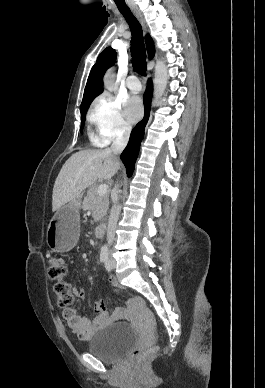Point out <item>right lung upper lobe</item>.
Instances as JSON below:
<instances>
[{
    "label": "right lung upper lobe",
    "mask_w": 265,
    "mask_h": 388,
    "mask_svg": "<svg viewBox=\"0 0 265 388\" xmlns=\"http://www.w3.org/2000/svg\"><path fill=\"white\" fill-rule=\"evenodd\" d=\"M146 45L148 54L150 58H152L154 56V46L149 36L146 37ZM115 60L116 51L111 47L104 49L103 52L98 56L97 61L92 67L88 77L81 106L103 92L104 73L109 67L114 65Z\"/></svg>",
    "instance_id": "obj_1"
}]
</instances>
